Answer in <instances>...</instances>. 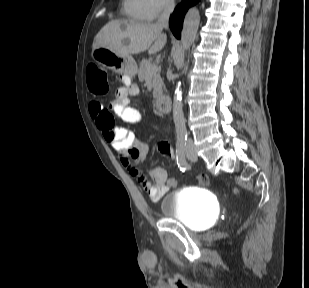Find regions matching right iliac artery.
I'll return each instance as SVG.
<instances>
[{
  "label": "right iliac artery",
  "instance_id": "1",
  "mask_svg": "<svg viewBox=\"0 0 309 288\" xmlns=\"http://www.w3.org/2000/svg\"><path fill=\"white\" fill-rule=\"evenodd\" d=\"M185 148H186V139L180 138L177 141L176 145V158H177V163L179 166V169L181 171H186L188 170H193L192 168L189 167L186 158H185Z\"/></svg>",
  "mask_w": 309,
  "mask_h": 288
}]
</instances>
